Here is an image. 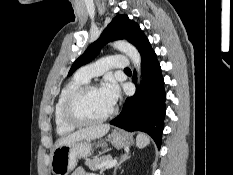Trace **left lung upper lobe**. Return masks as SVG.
Here are the masks:
<instances>
[{"instance_id":"obj_1","label":"left lung upper lobe","mask_w":233,"mask_h":175,"mask_svg":"<svg viewBox=\"0 0 233 175\" xmlns=\"http://www.w3.org/2000/svg\"><path fill=\"white\" fill-rule=\"evenodd\" d=\"M118 39L128 40L136 46L140 53L147 45L150 44L149 40L136 22L130 20L127 15H117L103 31L100 38L92 43L73 63L68 75H71L77 68L95 58L100 49L106 43Z\"/></svg>"}]
</instances>
